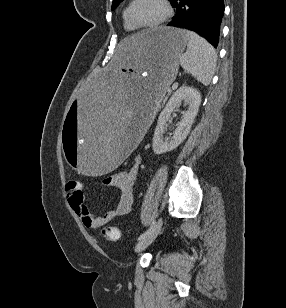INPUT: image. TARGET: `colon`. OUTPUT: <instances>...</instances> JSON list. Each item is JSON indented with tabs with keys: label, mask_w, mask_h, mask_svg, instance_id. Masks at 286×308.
<instances>
[{
	"label": "colon",
	"mask_w": 286,
	"mask_h": 308,
	"mask_svg": "<svg viewBox=\"0 0 286 308\" xmlns=\"http://www.w3.org/2000/svg\"><path fill=\"white\" fill-rule=\"evenodd\" d=\"M81 186V182L78 180H70L66 184V188L68 191H79ZM102 236L104 239L108 241H116L120 237V232L117 227L114 226H105L102 228Z\"/></svg>",
	"instance_id": "obj_1"
}]
</instances>
